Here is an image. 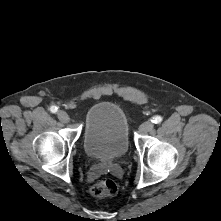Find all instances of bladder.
I'll use <instances>...</instances> for the list:
<instances>
[{"label":"bladder","instance_id":"1","mask_svg":"<svg viewBox=\"0 0 221 221\" xmlns=\"http://www.w3.org/2000/svg\"><path fill=\"white\" fill-rule=\"evenodd\" d=\"M83 145L95 160L111 161L123 156L129 148V123L123 109L103 101L89 108L85 118Z\"/></svg>","mask_w":221,"mask_h":221}]
</instances>
